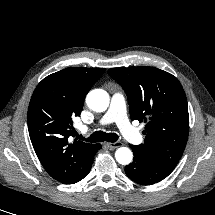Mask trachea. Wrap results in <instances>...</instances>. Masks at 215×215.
Masks as SVG:
<instances>
[{"label": "trachea", "instance_id": "trachea-1", "mask_svg": "<svg viewBox=\"0 0 215 215\" xmlns=\"http://www.w3.org/2000/svg\"><path fill=\"white\" fill-rule=\"evenodd\" d=\"M79 139L81 140H86L88 142H103V141H108V142H116L119 139V136L115 133H106L103 131H96L94 132L90 137L85 138L82 135L78 136Z\"/></svg>", "mask_w": 215, "mask_h": 215}]
</instances>
